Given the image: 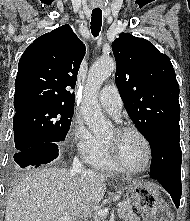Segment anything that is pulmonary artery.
Here are the masks:
<instances>
[{
  "instance_id": "1",
  "label": "pulmonary artery",
  "mask_w": 190,
  "mask_h": 221,
  "mask_svg": "<svg viewBox=\"0 0 190 221\" xmlns=\"http://www.w3.org/2000/svg\"><path fill=\"white\" fill-rule=\"evenodd\" d=\"M101 106L116 119L119 118L123 102L117 87L113 84L106 85L98 95Z\"/></svg>"
}]
</instances>
